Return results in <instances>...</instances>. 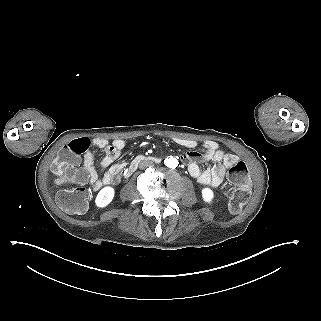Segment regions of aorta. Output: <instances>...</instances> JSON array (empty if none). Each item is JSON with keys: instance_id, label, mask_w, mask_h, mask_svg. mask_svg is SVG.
Instances as JSON below:
<instances>
[{"instance_id": "762f6f07", "label": "aorta", "mask_w": 321, "mask_h": 321, "mask_svg": "<svg viewBox=\"0 0 321 321\" xmlns=\"http://www.w3.org/2000/svg\"><path fill=\"white\" fill-rule=\"evenodd\" d=\"M165 165L168 168L174 169L178 166V160L174 157H169L165 160Z\"/></svg>"}]
</instances>
